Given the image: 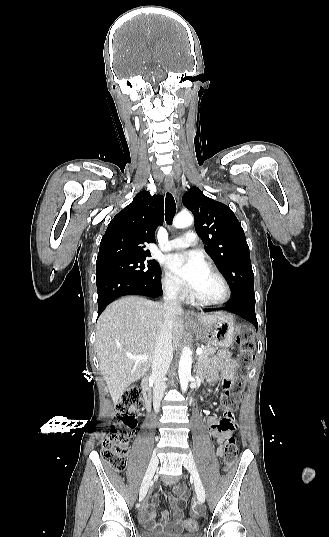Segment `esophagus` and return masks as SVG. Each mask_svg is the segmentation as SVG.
<instances>
[{
  "label": "esophagus",
  "instance_id": "obj_1",
  "mask_svg": "<svg viewBox=\"0 0 329 537\" xmlns=\"http://www.w3.org/2000/svg\"><path fill=\"white\" fill-rule=\"evenodd\" d=\"M165 188L171 192L172 194H175L176 191H175V186H174V182H173V179L171 176H166L165 178ZM194 313L192 311H188L187 312V315H193Z\"/></svg>",
  "mask_w": 329,
  "mask_h": 537
}]
</instances>
